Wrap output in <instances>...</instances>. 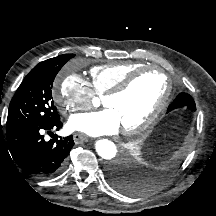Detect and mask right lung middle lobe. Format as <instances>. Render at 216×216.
<instances>
[{
	"label": "right lung middle lobe",
	"mask_w": 216,
	"mask_h": 216,
	"mask_svg": "<svg viewBox=\"0 0 216 216\" xmlns=\"http://www.w3.org/2000/svg\"><path fill=\"white\" fill-rule=\"evenodd\" d=\"M72 57L74 54L60 55L43 61L30 71L10 102L6 131L48 124L60 118L52 100L51 88L59 70Z\"/></svg>",
	"instance_id": "obj_1"
}]
</instances>
